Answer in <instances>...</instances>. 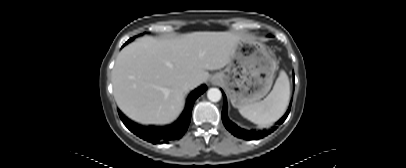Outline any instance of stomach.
<instances>
[{
	"instance_id": "stomach-1",
	"label": "stomach",
	"mask_w": 406,
	"mask_h": 168,
	"mask_svg": "<svg viewBox=\"0 0 406 168\" xmlns=\"http://www.w3.org/2000/svg\"><path fill=\"white\" fill-rule=\"evenodd\" d=\"M277 68L270 49L245 39L239 42L225 69L213 75L212 80L225 89L232 105L240 109L267 95Z\"/></svg>"
}]
</instances>
